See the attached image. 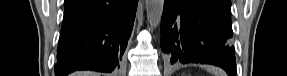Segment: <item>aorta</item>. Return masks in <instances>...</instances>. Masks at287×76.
Returning <instances> with one entry per match:
<instances>
[{"instance_id":"obj_1","label":"aorta","mask_w":287,"mask_h":76,"mask_svg":"<svg viewBox=\"0 0 287 76\" xmlns=\"http://www.w3.org/2000/svg\"><path fill=\"white\" fill-rule=\"evenodd\" d=\"M164 0H146L147 19L152 28H156L161 21Z\"/></svg>"}]
</instances>
